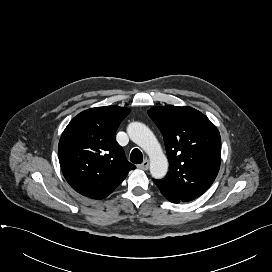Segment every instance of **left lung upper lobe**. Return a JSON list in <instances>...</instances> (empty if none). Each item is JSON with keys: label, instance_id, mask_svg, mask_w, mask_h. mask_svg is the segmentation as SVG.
<instances>
[{"label": "left lung upper lobe", "instance_id": "left-lung-upper-lobe-1", "mask_svg": "<svg viewBox=\"0 0 272 272\" xmlns=\"http://www.w3.org/2000/svg\"><path fill=\"white\" fill-rule=\"evenodd\" d=\"M149 116L163 134L169 172L157 187L168 200L199 197L215 180L221 161V137L200 111L184 106H156Z\"/></svg>", "mask_w": 272, "mask_h": 272}]
</instances>
